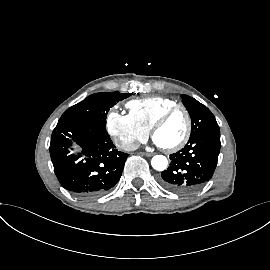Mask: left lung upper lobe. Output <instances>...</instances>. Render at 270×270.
<instances>
[{
  "label": "left lung upper lobe",
  "instance_id": "obj_1",
  "mask_svg": "<svg viewBox=\"0 0 270 270\" xmlns=\"http://www.w3.org/2000/svg\"><path fill=\"white\" fill-rule=\"evenodd\" d=\"M181 98L192 121L190 139L201 134H220L216 119L206 106L188 95H182Z\"/></svg>",
  "mask_w": 270,
  "mask_h": 270
}]
</instances>
